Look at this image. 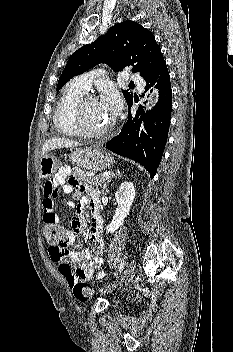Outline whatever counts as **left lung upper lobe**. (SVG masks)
Segmentation results:
<instances>
[{
    "mask_svg": "<svg viewBox=\"0 0 233 352\" xmlns=\"http://www.w3.org/2000/svg\"><path fill=\"white\" fill-rule=\"evenodd\" d=\"M164 57L151 31L133 21H123L112 26L105 35L84 45L69 58L57 85L60 90L72 77L82 74L99 63L108 64L114 71L126 66L145 79L154 74ZM129 104L133 93L122 90Z\"/></svg>",
    "mask_w": 233,
    "mask_h": 352,
    "instance_id": "5c2ea615",
    "label": "left lung upper lobe"
}]
</instances>
